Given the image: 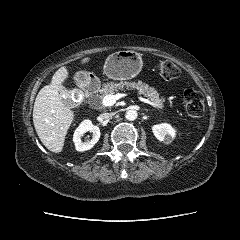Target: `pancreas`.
Listing matches in <instances>:
<instances>
[{
  "label": "pancreas",
  "mask_w": 240,
  "mask_h": 240,
  "mask_svg": "<svg viewBox=\"0 0 240 240\" xmlns=\"http://www.w3.org/2000/svg\"><path fill=\"white\" fill-rule=\"evenodd\" d=\"M123 88H126L128 90H137L140 95H143L151 100L155 105H157L159 108L164 107V98H159V94L157 91L148 86L147 84L143 83L142 81L138 82H127V81H121L119 83L115 82H109L103 85V87L99 90V94H96L97 102L94 105V108L96 109H103L104 106L102 104V100L104 96L106 95H114L118 90H123Z\"/></svg>",
  "instance_id": "pancreas-1"
}]
</instances>
